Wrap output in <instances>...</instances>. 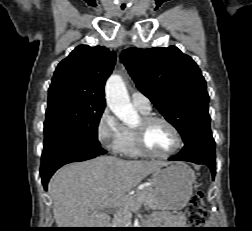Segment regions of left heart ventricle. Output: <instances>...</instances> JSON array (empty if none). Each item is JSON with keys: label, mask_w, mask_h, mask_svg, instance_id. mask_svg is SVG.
Masks as SVG:
<instances>
[{"label": "left heart ventricle", "mask_w": 252, "mask_h": 231, "mask_svg": "<svg viewBox=\"0 0 252 231\" xmlns=\"http://www.w3.org/2000/svg\"><path fill=\"white\" fill-rule=\"evenodd\" d=\"M140 122L135 126L137 127ZM148 147L155 153L165 154L175 145V137L171 129L162 122L153 123L146 132Z\"/></svg>", "instance_id": "left-heart-ventricle-1"}]
</instances>
